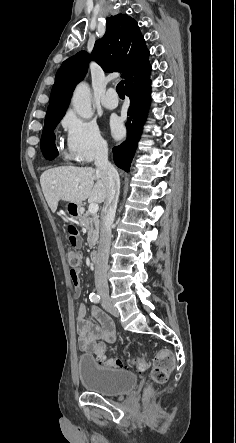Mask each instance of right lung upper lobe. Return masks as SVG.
Returning <instances> with one entry per match:
<instances>
[{
  "instance_id": "right-lung-upper-lobe-1",
  "label": "right lung upper lobe",
  "mask_w": 236,
  "mask_h": 443,
  "mask_svg": "<svg viewBox=\"0 0 236 443\" xmlns=\"http://www.w3.org/2000/svg\"><path fill=\"white\" fill-rule=\"evenodd\" d=\"M104 36L95 42L92 59L105 72H122L125 82L149 65V51L137 22L125 14L111 16L106 20ZM90 56L81 51L65 60L56 73L46 119L65 113L71 93L88 69Z\"/></svg>"
}]
</instances>
